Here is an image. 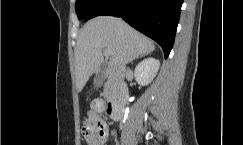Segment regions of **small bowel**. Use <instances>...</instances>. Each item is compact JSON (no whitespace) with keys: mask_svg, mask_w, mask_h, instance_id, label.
Here are the masks:
<instances>
[{"mask_svg":"<svg viewBox=\"0 0 243 145\" xmlns=\"http://www.w3.org/2000/svg\"><path fill=\"white\" fill-rule=\"evenodd\" d=\"M106 106L103 100L96 99L92 102L87 113L88 120L95 127L94 133L86 138L88 145H104L109 137V128L98 114L104 112Z\"/></svg>","mask_w":243,"mask_h":145,"instance_id":"small-bowel-1","label":"small bowel"}]
</instances>
